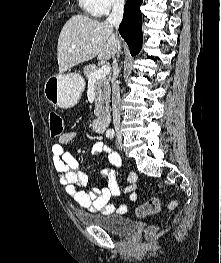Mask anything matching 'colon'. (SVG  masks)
<instances>
[{"label": "colon", "mask_w": 221, "mask_h": 263, "mask_svg": "<svg viewBox=\"0 0 221 263\" xmlns=\"http://www.w3.org/2000/svg\"><path fill=\"white\" fill-rule=\"evenodd\" d=\"M49 126H50V136L52 138L59 137L63 133V119L62 116L56 112L51 111L49 113ZM177 205L176 200H171L169 203V208L173 209ZM160 199L158 197H152L146 202L140 204L136 208V215L140 218L147 217L149 215L157 214L160 211ZM153 228H150V232Z\"/></svg>", "instance_id": "colon-1"}]
</instances>
